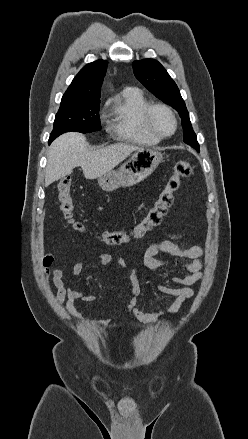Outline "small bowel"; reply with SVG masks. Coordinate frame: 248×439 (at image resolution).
Listing matches in <instances>:
<instances>
[{
    "label": "small bowel",
    "instance_id": "small-bowel-1",
    "mask_svg": "<svg viewBox=\"0 0 248 439\" xmlns=\"http://www.w3.org/2000/svg\"><path fill=\"white\" fill-rule=\"evenodd\" d=\"M165 235L164 239L150 244L143 254V263L148 271H155L168 263L166 259L158 257L159 253H165L174 257L177 260L176 263L186 272L182 276H172L169 278L176 286H156V289L161 294L174 298L172 304L165 311L150 312L137 306L142 293L139 269L131 266L123 257L117 259L119 266L129 269L131 272L130 298L127 302V313L132 314L141 323L154 322L164 314L177 313L182 305L193 296L194 292L191 286L202 278L203 249L200 246L181 248L177 245L176 242L186 239L188 233L175 234L166 231ZM99 258L101 271L105 272L112 262V257L108 253H100ZM59 262V256L46 254L43 257L42 265L45 270L46 280L48 284H51L56 289V302L58 304H65L72 316L84 320L85 318L76 307V302L80 300L85 303H93L97 300V297L87 294L85 290L66 287L64 283L66 277L78 276L83 270V264L80 260H77L70 269L64 271L57 268ZM91 323L95 326L106 327L111 323V320H93Z\"/></svg>",
    "mask_w": 248,
    "mask_h": 439
}]
</instances>
